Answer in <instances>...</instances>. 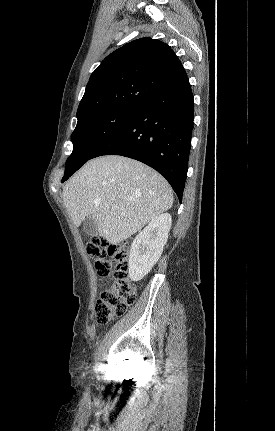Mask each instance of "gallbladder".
Segmentation results:
<instances>
[{"label": "gallbladder", "instance_id": "gallbladder-1", "mask_svg": "<svg viewBox=\"0 0 275 431\" xmlns=\"http://www.w3.org/2000/svg\"><path fill=\"white\" fill-rule=\"evenodd\" d=\"M83 229L90 236H96L98 234L96 224L91 216H88L83 221Z\"/></svg>", "mask_w": 275, "mask_h": 431}]
</instances>
